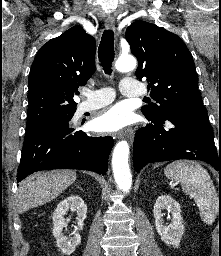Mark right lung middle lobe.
Returning <instances> with one entry per match:
<instances>
[{"label":"right lung middle lobe","instance_id":"obj_1","mask_svg":"<svg viewBox=\"0 0 221 256\" xmlns=\"http://www.w3.org/2000/svg\"><path fill=\"white\" fill-rule=\"evenodd\" d=\"M74 113L75 110L69 109H58L40 113H32L27 117L26 131H31L51 121L72 118Z\"/></svg>","mask_w":221,"mask_h":256}]
</instances>
